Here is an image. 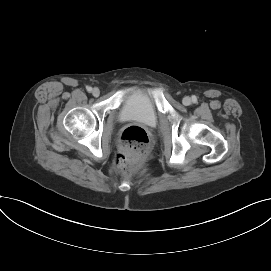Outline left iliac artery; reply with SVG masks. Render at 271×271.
<instances>
[{"label":"left iliac artery","instance_id":"1","mask_svg":"<svg viewBox=\"0 0 271 271\" xmlns=\"http://www.w3.org/2000/svg\"><path fill=\"white\" fill-rule=\"evenodd\" d=\"M192 101L195 102L196 101V97L192 96Z\"/></svg>","mask_w":271,"mask_h":271}]
</instances>
